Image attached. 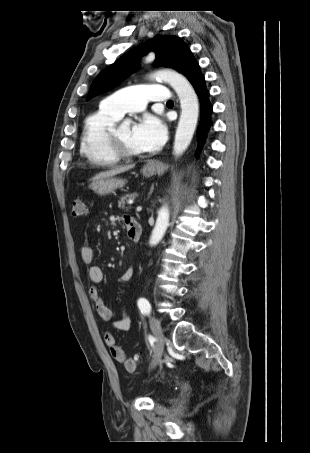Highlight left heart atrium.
I'll use <instances>...</instances> for the list:
<instances>
[{
  "instance_id": "39dd6f15",
  "label": "left heart atrium",
  "mask_w": 310,
  "mask_h": 453,
  "mask_svg": "<svg viewBox=\"0 0 310 453\" xmlns=\"http://www.w3.org/2000/svg\"><path fill=\"white\" fill-rule=\"evenodd\" d=\"M166 134L165 124L154 115L143 117L132 128L133 140L143 151L158 149L165 142Z\"/></svg>"
}]
</instances>
